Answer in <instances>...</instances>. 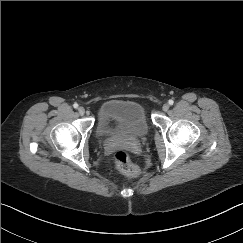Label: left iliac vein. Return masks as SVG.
Segmentation results:
<instances>
[{
  "label": "left iliac vein",
  "mask_w": 243,
  "mask_h": 243,
  "mask_svg": "<svg viewBox=\"0 0 243 243\" xmlns=\"http://www.w3.org/2000/svg\"><path fill=\"white\" fill-rule=\"evenodd\" d=\"M168 109H169V105L167 103L162 106L163 111L166 112V111H168Z\"/></svg>",
  "instance_id": "1"
}]
</instances>
